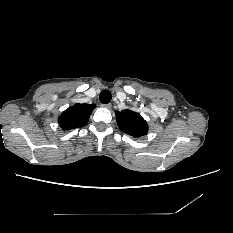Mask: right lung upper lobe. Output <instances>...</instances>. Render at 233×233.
<instances>
[{"label":"right lung upper lobe","instance_id":"1","mask_svg":"<svg viewBox=\"0 0 233 233\" xmlns=\"http://www.w3.org/2000/svg\"><path fill=\"white\" fill-rule=\"evenodd\" d=\"M94 108V104H75L61 114L58 122L63 130L82 127L88 122Z\"/></svg>","mask_w":233,"mask_h":233}]
</instances>
